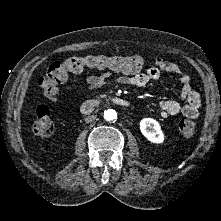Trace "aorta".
Wrapping results in <instances>:
<instances>
[{"label":"aorta","instance_id":"1","mask_svg":"<svg viewBox=\"0 0 221 221\" xmlns=\"http://www.w3.org/2000/svg\"><path fill=\"white\" fill-rule=\"evenodd\" d=\"M104 119L107 120V121H113V120L117 119L116 111L113 110V109L105 110Z\"/></svg>","mask_w":221,"mask_h":221}]
</instances>
